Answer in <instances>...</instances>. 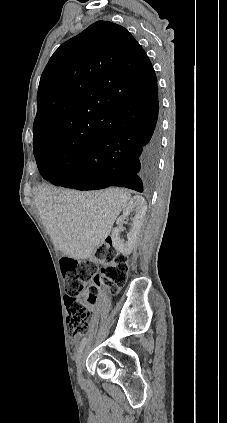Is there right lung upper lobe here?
<instances>
[{"mask_svg":"<svg viewBox=\"0 0 227 423\" xmlns=\"http://www.w3.org/2000/svg\"><path fill=\"white\" fill-rule=\"evenodd\" d=\"M157 79L144 49L124 27L98 21L63 43L42 73L33 142L57 138L90 147L108 129L123 128L108 109L150 98Z\"/></svg>","mask_w":227,"mask_h":423,"instance_id":"right-lung-upper-lobe-1","label":"right lung upper lobe"}]
</instances>
